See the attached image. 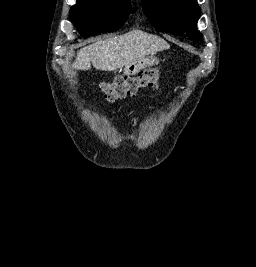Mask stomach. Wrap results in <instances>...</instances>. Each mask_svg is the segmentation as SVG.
<instances>
[{
  "label": "stomach",
  "instance_id": "1",
  "mask_svg": "<svg viewBox=\"0 0 256 267\" xmlns=\"http://www.w3.org/2000/svg\"><path fill=\"white\" fill-rule=\"evenodd\" d=\"M135 67H160V62H135Z\"/></svg>",
  "mask_w": 256,
  "mask_h": 267
}]
</instances>
